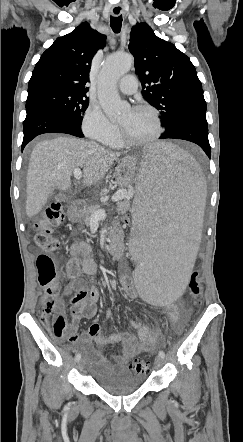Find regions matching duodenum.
<instances>
[{
	"instance_id": "410a0bca",
	"label": "duodenum",
	"mask_w": 243,
	"mask_h": 442,
	"mask_svg": "<svg viewBox=\"0 0 243 442\" xmlns=\"http://www.w3.org/2000/svg\"><path fill=\"white\" fill-rule=\"evenodd\" d=\"M123 232H115L111 241V252L114 256H119L123 252Z\"/></svg>"
}]
</instances>
